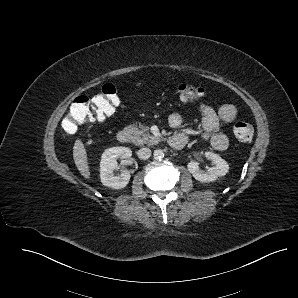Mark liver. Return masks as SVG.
Instances as JSON below:
<instances>
[{"mask_svg":"<svg viewBox=\"0 0 298 298\" xmlns=\"http://www.w3.org/2000/svg\"><path fill=\"white\" fill-rule=\"evenodd\" d=\"M73 159L74 163L80 172V174L85 178H90V170L87 160V153L83 142L77 139L73 146Z\"/></svg>","mask_w":298,"mask_h":298,"instance_id":"obj_1","label":"liver"}]
</instances>
